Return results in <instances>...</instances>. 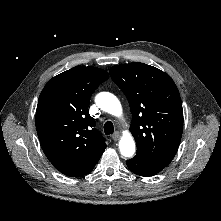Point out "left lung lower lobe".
<instances>
[{"instance_id":"0a47b994","label":"left lung lower lobe","mask_w":221,"mask_h":221,"mask_svg":"<svg viewBox=\"0 0 221 221\" xmlns=\"http://www.w3.org/2000/svg\"><path fill=\"white\" fill-rule=\"evenodd\" d=\"M126 164L133 173L140 176H153L167 166L146 160L138 156L127 160Z\"/></svg>"}]
</instances>
